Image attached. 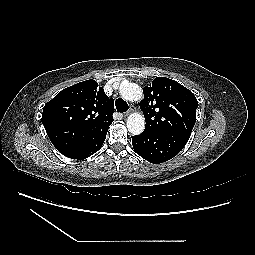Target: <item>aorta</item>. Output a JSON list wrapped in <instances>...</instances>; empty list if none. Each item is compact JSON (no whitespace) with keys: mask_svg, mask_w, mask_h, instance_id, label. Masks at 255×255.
Wrapping results in <instances>:
<instances>
[{"mask_svg":"<svg viewBox=\"0 0 255 255\" xmlns=\"http://www.w3.org/2000/svg\"><path fill=\"white\" fill-rule=\"evenodd\" d=\"M120 94L128 101H138L143 97L141 88L135 83L125 82L120 86ZM145 128V118L140 113H132L127 118V129L133 135H138Z\"/></svg>","mask_w":255,"mask_h":255,"instance_id":"1","label":"aorta"}]
</instances>
